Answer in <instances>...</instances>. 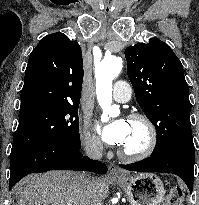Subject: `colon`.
Here are the masks:
<instances>
[{
    "label": "colon",
    "instance_id": "obj_1",
    "mask_svg": "<svg viewBox=\"0 0 199 205\" xmlns=\"http://www.w3.org/2000/svg\"><path fill=\"white\" fill-rule=\"evenodd\" d=\"M182 194L179 188L173 187L167 194L162 205H181Z\"/></svg>",
    "mask_w": 199,
    "mask_h": 205
}]
</instances>
